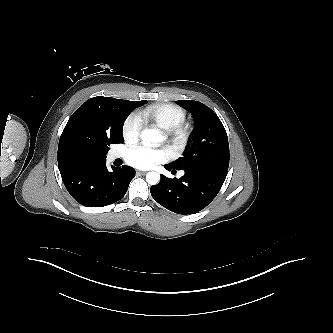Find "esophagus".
I'll return each instance as SVG.
<instances>
[{"mask_svg": "<svg viewBox=\"0 0 333 333\" xmlns=\"http://www.w3.org/2000/svg\"><path fill=\"white\" fill-rule=\"evenodd\" d=\"M146 174V172L144 171H136V176H141V175H144Z\"/></svg>", "mask_w": 333, "mask_h": 333, "instance_id": "34e87169", "label": "esophagus"}]
</instances>
